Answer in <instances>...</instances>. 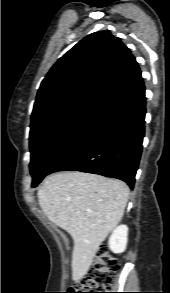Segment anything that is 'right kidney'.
Wrapping results in <instances>:
<instances>
[{"label": "right kidney", "instance_id": "right-kidney-1", "mask_svg": "<svg viewBox=\"0 0 170 293\" xmlns=\"http://www.w3.org/2000/svg\"><path fill=\"white\" fill-rule=\"evenodd\" d=\"M128 241V227L117 226L109 238V248L112 252L119 254L125 251Z\"/></svg>", "mask_w": 170, "mask_h": 293}]
</instances>
